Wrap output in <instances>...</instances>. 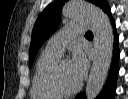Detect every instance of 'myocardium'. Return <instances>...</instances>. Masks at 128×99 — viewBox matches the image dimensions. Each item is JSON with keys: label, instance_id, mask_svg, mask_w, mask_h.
<instances>
[{"label": "myocardium", "instance_id": "myocardium-1", "mask_svg": "<svg viewBox=\"0 0 128 99\" xmlns=\"http://www.w3.org/2000/svg\"><path fill=\"white\" fill-rule=\"evenodd\" d=\"M62 59H58L57 62L49 70L46 80L49 87L55 92L59 93L61 96H69L77 93L82 86L81 81L73 88H65L60 81V69L63 62Z\"/></svg>", "mask_w": 128, "mask_h": 99}]
</instances>
